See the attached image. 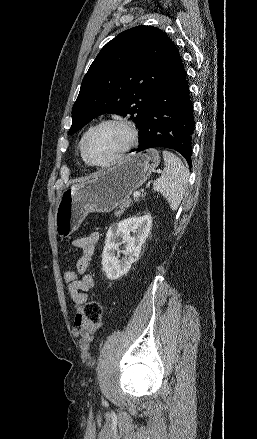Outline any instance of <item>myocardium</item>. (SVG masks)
Listing matches in <instances>:
<instances>
[{"label": "myocardium", "mask_w": 257, "mask_h": 439, "mask_svg": "<svg viewBox=\"0 0 257 439\" xmlns=\"http://www.w3.org/2000/svg\"><path fill=\"white\" fill-rule=\"evenodd\" d=\"M107 125H116V126H120V127L124 128L128 134V143L112 159H110L106 162H95L88 155V145H89V142H90L92 136L95 134V132L104 126H107ZM137 141H138V131L136 130L135 126L132 123H130L129 121L123 120V119H106V120L99 122L95 126H93L87 132V134L84 138V141H83V145H82V156H83L85 162L92 167H95L98 169L108 168V167L114 165L115 163H117L129 151H131L135 147V145L137 144Z\"/></svg>", "instance_id": "obj_1"}]
</instances>
